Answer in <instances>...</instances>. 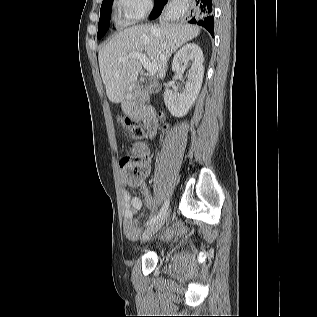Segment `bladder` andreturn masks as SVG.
I'll return each mask as SVG.
<instances>
[{"label":"bladder","mask_w":317,"mask_h":317,"mask_svg":"<svg viewBox=\"0 0 317 317\" xmlns=\"http://www.w3.org/2000/svg\"><path fill=\"white\" fill-rule=\"evenodd\" d=\"M158 255L162 256L163 254L161 252H159Z\"/></svg>","instance_id":"31cf9c89"}]
</instances>
